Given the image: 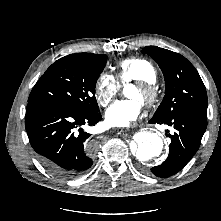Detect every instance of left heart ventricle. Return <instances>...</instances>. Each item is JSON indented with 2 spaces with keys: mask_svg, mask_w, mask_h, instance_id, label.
I'll return each instance as SVG.
<instances>
[{
  "mask_svg": "<svg viewBox=\"0 0 221 221\" xmlns=\"http://www.w3.org/2000/svg\"><path fill=\"white\" fill-rule=\"evenodd\" d=\"M127 95L129 97H132L134 99H141V93L139 92V90L136 87H129L127 89Z\"/></svg>",
  "mask_w": 221,
  "mask_h": 221,
  "instance_id": "left-heart-ventricle-1",
  "label": "left heart ventricle"
}]
</instances>
